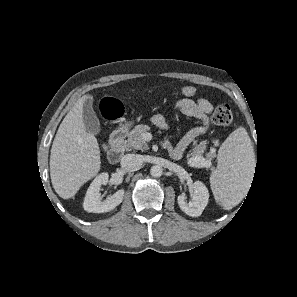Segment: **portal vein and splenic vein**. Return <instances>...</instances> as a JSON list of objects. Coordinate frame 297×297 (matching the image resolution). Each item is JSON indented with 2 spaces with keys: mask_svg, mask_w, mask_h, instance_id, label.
<instances>
[{
  "mask_svg": "<svg viewBox=\"0 0 297 297\" xmlns=\"http://www.w3.org/2000/svg\"><path fill=\"white\" fill-rule=\"evenodd\" d=\"M145 136H148L149 138H151V134L146 133Z\"/></svg>",
  "mask_w": 297,
  "mask_h": 297,
  "instance_id": "18ae733b",
  "label": "portal vein and splenic vein"
}]
</instances>
